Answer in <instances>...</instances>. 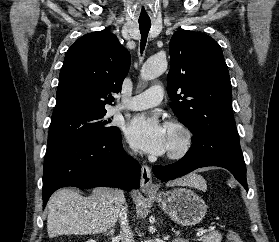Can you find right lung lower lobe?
I'll list each match as a JSON object with an SVG mask.
<instances>
[{"label": "right lung lower lobe", "mask_w": 279, "mask_h": 242, "mask_svg": "<svg viewBox=\"0 0 279 242\" xmlns=\"http://www.w3.org/2000/svg\"><path fill=\"white\" fill-rule=\"evenodd\" d=\"M67 186L138 189L140 165L124 152L121 133L98 142L77 143L46 153L43 208L54 191Z\"/></svg>", "instance_id": "right-lung-lower-lobe-1"}]
</instances>
